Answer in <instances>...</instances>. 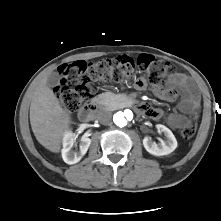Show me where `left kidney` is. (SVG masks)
Instances as JSON below:
<instances>
[{
  "label": "left kidney",
  "instance_id": "1",
  "mask_svg": "<svg viewBox=\"0 0 221 221\" xmlns=\"http://www.w3.org/2000/svg\"><path fill=\"white\" fill-rule=\"evenodd\" d=\"M156 127L158 131L164 134L166 140L157 144L152 141L151 137L146 136L143 139L144 148L147 152L155 156H163L172 153L177 148V140L172 131L161 124L156 125Z\"/></svg>",
  "mask_w": 221,
  "mask_h": 221
}]
</instances>
